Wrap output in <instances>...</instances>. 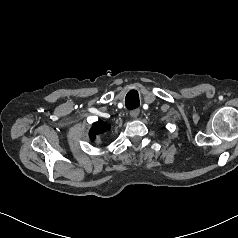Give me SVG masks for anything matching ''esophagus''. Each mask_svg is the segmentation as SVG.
I'll return each mask as SVG.
<instances>
[{"instance_id": "obj_1", "label": "esophagus", "mask_w": 238, "mask_h": 238, "mask_svg": "<svg viewBox=\"0 0 238 238\" xmlns=\"http://www.w3.org/2000/svg\"><path fill=\"white\" fill-rule=\"evenodd\" d=\"M139 109H134V110H132L131 112H130V116L132 117V118H137L138 117V115H139Z\"/></svg>"}]
</instances>
